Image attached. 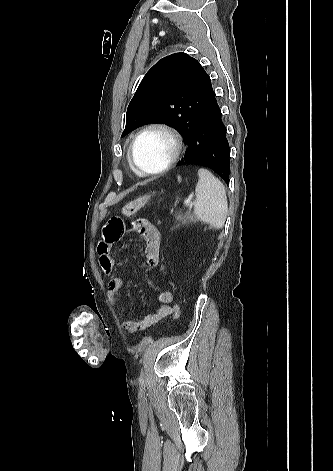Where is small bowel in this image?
Masks as SVG:
<instances>
[{"label":"small bowel","instance_id":"c3829d8e","mask_svg":"<svg viewBox=\"0 0 333 471\" xmlns=\"http://www.w3.org/2000/svg\"><path fill=\"white\" fill-rule=\"evenodd\" d=\"M132 229L140 235L144 242L145 265L149 268L156 267L160 259L161 238L159 231L146 219L136 220L132 224ZM125 231L126 225L119 216L110 217L103 227V236L98 243L97 252L102 271L107 275L112 274L115 268V259L112 255L113 246L122 238ZM122 286L123 279L121 277H113L109 281L107 296L111 304H118L119 290ZM158 300L160 305L154 312L147 314L140 320L124 321L123 327L128 335L145 330L172 314L173 293L169 290H163L159 293Z\"/></svg>","mask_w":333,"mask_h":471}]
</instances>
